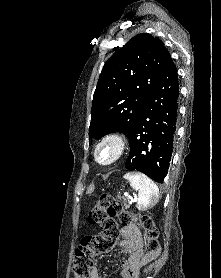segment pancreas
Returning a JSON list of instances; mask_svg holds the SVG:
<instances>
[{
    "mask_svg": "<svg viewBox=\"0 0 221 278\" xmlns=\"http://www.w3.org/2000/svg\"><path fill=\"white\" fill-rule=\"evenodd\" d=\"M123 206H124L125 208L128 207V204L126 203V199H125V198H123Z\"/></svg>",
    "mask_w": 221,
    "mask_h": 278,
    "instance_id": "pancreas-1",
    "label": "pancreas"
}]
</instances>
